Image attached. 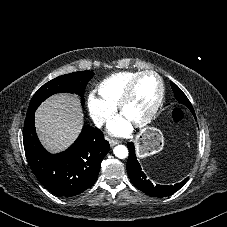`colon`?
I'll return each instance as SVG.
<instances>
[{"instance_id":"1","label":"colon","mask_w":227,"mask_h":227,"mask_svg":"<svg viewBox=\"0 0 227 227\" xmlns=\"http://www.w3.org/2000/svg\"><path fill=\"white\" fill-rule=\"evenodd\" d=\"M184 117L185 114L181 109L176 108L172 111V119L174 122L179 123L184 119Z\"/></svg>"}]
</instances>
